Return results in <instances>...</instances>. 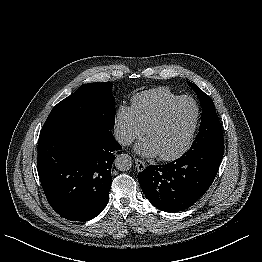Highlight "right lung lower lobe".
Segmentation results:
<instances>
[{
    "instance_id": "right-lung-lower-lobe-1",
    "label": "right lung lower lobe",
    "mask_w": 262,
    "mask_h": 262,
    "mask_svg": "<svg viewBox=\"0 0 262 262\" xmlns=\"http://www.w3.org/2000/svg\"><path fill=\"white\" fill-rule=\"evenodd\" d=\"M122 149L111 131L86 127L42 130L37 169L50 206L72 221H88L107 205L111 167Z\"/></svg>"
}]
</instances>
